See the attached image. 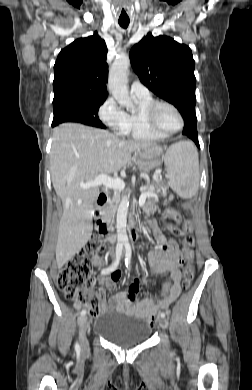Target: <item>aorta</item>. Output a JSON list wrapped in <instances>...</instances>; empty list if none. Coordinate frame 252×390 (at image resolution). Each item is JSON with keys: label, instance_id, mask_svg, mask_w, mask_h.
Returning a JSON list of instances; mask_svg holds the SVG:
<instances>
[{"label": "aorta", "instance_id": "aorta-1", "mask_svg": "<svg viewBox=\"0 0 252 390\" xmlns=\"http://www.w3.org/2000/svg\"><path fill=\"white\" fill-rule=\"evenodd\" d=\"M130 59L127 55H121L112 64L109 70L108 89L116 101L126 109H134V104L128 91V69ZM129 208V196L124 195L119 204L116 217L118 243L127 244V214Z\"/></svg>", "mask_w": 252, "mask_h": 390}]
</instances>
